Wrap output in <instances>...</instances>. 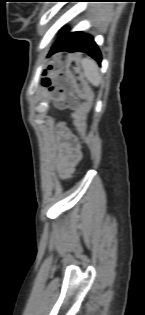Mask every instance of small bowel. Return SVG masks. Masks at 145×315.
Segmentation results:
<instances>
[{"label":"small bowel","instance_id":"obj_1","mask_svg":"<svg viewBox=\"0 0 145 315\" xmlns=\"http://www.w3.org/2000/svg\"><path fill=\"white\" fill-rule=\"evenodd\" d=\"M57 134L60 142V164L58 170L62 177L67 178L80 161L82 152L76 137L68 127L61 125Z\"/></svg>","mask_w":145,"mask_h":315}]
</instances>
